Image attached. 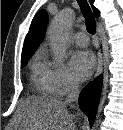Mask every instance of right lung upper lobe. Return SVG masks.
Instances as JSON below:
<instances>
[{
  "label": "right lung upper lobe",
  "instance_id": "cb5924a9",
  "mask_svg": "<svg viewBox=\"0 0 123 130\" xmlns=\"http://www.w3.org/2000/svg\"><path fill=\"white\" fill-rule=\"evenodd\" d=\"M94 0H90L92 5ZM94 14L96 17L99 16V11L92 5ZM48 23V14L45 10L38 12L32 20L30 30L26 35L24 46L22 50V56L32 55L41 41L43 40L46 32Z\"/></svg>",
  "mask_w": 123,
  "mask_h": 130
}]
</instances>
